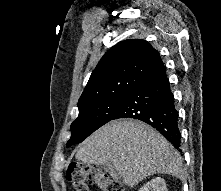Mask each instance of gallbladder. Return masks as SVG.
<instances>
[{"label":"gallbladder","mask_w":221,"mask_h":191,"mask_svg":"<svg viewBox=\"0 0 221 191\" xmlns=\"http://www.w3.org/2000/svg\"><path fill=\"white\" fill-rule=\"evenodd\" d=\"M103 169L105 172L109 173L112 177H119V174L117 173L116 169L114 168V166L110 163H106L103 166Z\"/></svg>","instance_id":"1"}]
</instances>
